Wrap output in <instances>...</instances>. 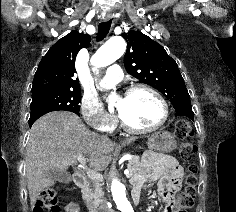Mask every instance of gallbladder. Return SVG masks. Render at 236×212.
Here are the masks:
<instances>
[{
	"label": "gallbladder",
	"mask_w": 236,
	"mask_h": 212,
	"mask_svg": "<svg viewBox=\"0 0 236 212\" xmlns=\"http://www.w3.org/2000/svg\"><path fill=\"white\" fill-rule=\"evenodd\" d=\"M47 176L54 180V181H58L61 183H69L71 181V174L69 172H63V171H59L56 169H50L47 172Z\"/></svg>",
	"instance_id": "gallbladder-1"
}]
</instances>
